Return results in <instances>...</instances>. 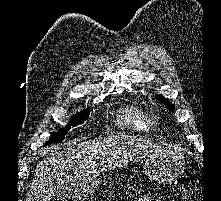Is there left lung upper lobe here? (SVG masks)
Wrapping results in <instances>:
<instances>
[{
  "label": "left lung upper lobe",
  "instance_id": "5c2ea615",
  "mask_svg": "<svg viewBox=\"0 0 221 201\" xmlns=\"http://www.w3.org/2000/svg\"><path fill=\"white\" fill-rule=\"evenodd\" d=\"M156 99H158L159 101H161L162 103H164L171 111L174 110V105H172V103L169 102L168 99H166L165 97L161 96V95H157Z\"/></svg>",
  "mask_w": 221,
  "mask_h": 201
}]
</instances>
